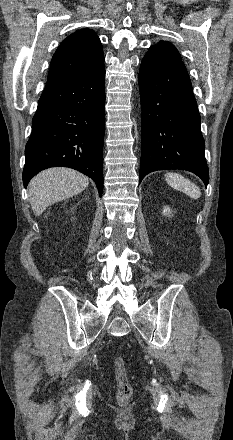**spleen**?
Listing matches in <instances>:
<instances>
[{
	"label": "spleen",
	"mask_w": 233,
	"mask_h": 440,
	"mask_svg": "<svg viewBox=\"0 0 233 440\" xmlns=\"http://www.w3.org/2000/svg\"><path fill=\"white\" fill-rule=\"evenodd\" d=\"M165 180L172 188L184 192L192 199H198L201 197L199 187L179 173H167L165 175Z\"/></svg>",
	"instance_id": "obj_1"
}]
</instances>
